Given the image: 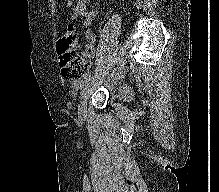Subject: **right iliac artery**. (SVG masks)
Segmentation results:
<instances>
[{
	"label": "right iliac artery",
	"instance_id": "right-iliac-artery-1",
	"mask_svg": "<svg viewBox=\"0 0 219 192\" xmlns=\"http://www.w3.org/2000/svg\"><path fill=\"white\" fill-rule=\"evenodd\" d=\"M89 78L90 74H87L80 82L74 83V87L77 89L82 87L88 81Z\"/></svg>",
	"mask_w": 219,
	"mask_h": 192
}]
</instances>
